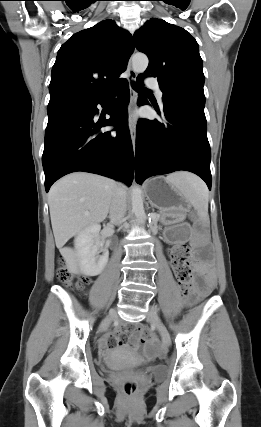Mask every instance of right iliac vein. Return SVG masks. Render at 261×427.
<instances>
[{"label": "right iliac vein", "mask_w": 261, "mask_h": 427, "mask_svg": "<svg viewBox=\"0 0 261 427\" xmlns=\"http://www.w3.org/2000/svg\"><path fill=\"white\" fill-rule=\"evenodd\" d=\"M116 316V310H112L109 315L106 317V319L102 322L100 326V330H105L111 323L112 319Z\"/></svg>", "instance_id": "obj_1"}]
</instances>
